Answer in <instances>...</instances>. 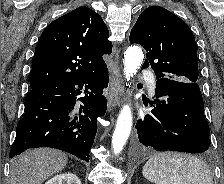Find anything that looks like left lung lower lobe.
Here are the masks:
<instances>
[{
    "label": "left lung lower lobe",
    "instance_id": "left-lung-lower-lobe-1",
    "mask_svg": "<svg viewBox=\"0 0 224 184\" xmlns=\"http://www.w3.org/2000/svg\"><path fill=\"white\" fill-rule=\"evenodd\" d=\"M155 97V108L142 113L136 123L141 146L157 151H207L210 131L198 84L159 78Z\"/></svg>",
    "mask_w": 224,
    "mask_h": 184
}]
</instances>
